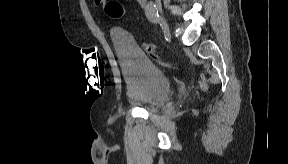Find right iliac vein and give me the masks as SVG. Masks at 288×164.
<instances>
[{"mask_svg":"<svg viewBox=\"0 0 288 164\" xmlns=\"http://www.w3.org/2000/svg\"><path fill=\"white\" fill-rule=\"evenodd\" d=\"M159 22H160V24L162 26V29H163L165 37L169 38L170 37V29H169V26H168L167 22L161 16L159 17Z\"/></svg>","mask_w":288,"mask_h":164,"instance_id":"obj_1","label":"right iliac vein"}]
</instances>
